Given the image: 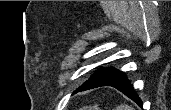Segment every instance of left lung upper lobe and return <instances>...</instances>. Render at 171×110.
I'll use <instances>...</instances> for the list:
<instances>
[{
  "instance_id": "left-lung-upper-lobe-1",
  "label": "left lung upper lobe",
  "mask_w": 171,
  "mask_h": 110,
  "mask_svg": "<svg viewBox=\"0 0 171 110\" xmlns=\"http://www.w3.org/2000/svg\"><path fill=\"white\" fill-rule=\"evenodd\" d=\"M112 68H108V69H101L99 70L98 72H96L88 81L86 82H89V81H92L94 79H96L97 77L101 76L103 73L107 72L108 70H110Z\"/></svg>"
}]
</instances>
